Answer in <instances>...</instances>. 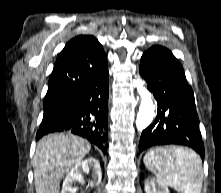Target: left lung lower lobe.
<instances>
[{
	"mask_svg": "<svg viewBox=\"0 0 221 193\" xmlns=\"http://www.w3.org/2000/svg\"><path fill=\"white\" fill-rule=\"evenodd\" d=\"M139 72L158 105L156 119L141 134L139 152L176 144L194 149L204 160L194 93L182 65L168 49L157 45L142 55ZM171 114L175 115L174 127L169 121Z\"/></svg>",
	"mask_w": 221,
	"mask_h": 193,
	"instance_id": "obj_1",
	"label": "left lung lower lobe"
}]
</instances>
